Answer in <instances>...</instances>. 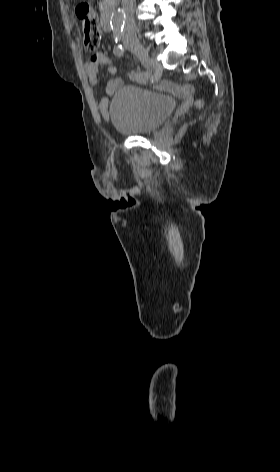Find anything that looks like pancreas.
Instances as JSON below:
<instances>
[{"label":"pancreas","mask_w":280,"mask_h":472,"mask_svg":"<svg viewBox=\"0 0 280 472\" xmlns=\"http://www.w3.org/2000/svg\"><path fill=\"white\" fill-rule=\"evenodd\" d=\"M110 0H104V2H109Z\"/></svg>","instance_id":"pancreas-1"}]
</instances>
